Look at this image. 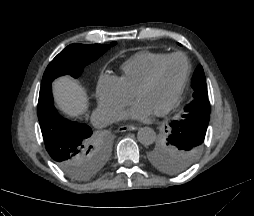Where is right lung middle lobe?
<instances>
[{"instance_id": "right-lung-middle-lobe-1", "label": "right lung middle lobe", "mask_w": 254, "mask_h": 216, "mask_svg": "<svg viewBox=\"0 0 254 216\" xmlns=\"http://www.w3.org/2000/svg\"><path fill=\"white\" fill-rule=\"evenodd\" d=\"M116 42H112L110 45H83V44H71L67 46L62 52H60L46 68L41 86L51 84V82L58 76L69 74L74 78L81 75L84 67L101 55H103L111 46H114ZM96 137V146L93 153V160L96 163L97 172L104 166L109 154L108 144L101 138ZM72 170L78 175L72 177L77 180H85L86 177L81 173L79 164L74 163ZM67 174V173H66ZM68 175V174H67Z\"/></svg>"}]
</instances>
